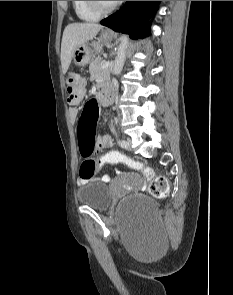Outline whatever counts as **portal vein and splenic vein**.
<instances>
[{"label":"portal vein and splenic vein","mask_w":233,"mask_h":295,"mask_svg":"<svg viewBox=\"0 0 233 295\" xmlns=\"http://www.w3.org/2000/svg\"><path fill=\"white\" fill-rule=\"evenodd\" d=\"M109 66V61L105 62L103 65H102V69H105Z\"/></svg>","instance_id":"obj_1"}]
</instances>
